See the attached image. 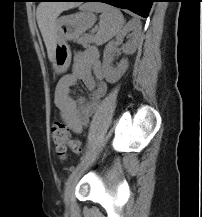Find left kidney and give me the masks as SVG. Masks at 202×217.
<instances>
[{
    "label": "left kidney",
    "instance_id": "obj_1",
    "mask_svg": "<svg viewBox=\"0 0 202 217\" xmlns=\"http://www.w3.org/2000/svg\"><path fill=\"white\" fill-rule=\"evenodd\" d=\"M130 31L133 32V37L123 45L122 49L123 52L127 55L133 54L136 51L137 48V35L139 32V26L138 23L135 21H130L123 29L122 31L116 36V41L109 42L103 53V70H104V76L106 78V81L108 83H116L126 72L128 68V61L127 59H122L120 63L117 65V67L112 66L113 61V52L117 45H119L123 37L129 33Z\"/></svg>",
    "mask_w": 202,
    "mask_h": 217
}]
</instances>
